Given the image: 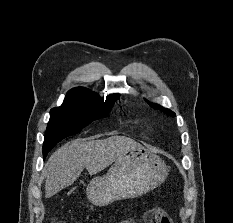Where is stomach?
I'll use <instances>...</instances> for the list:
<instances>
[{
  "mask_svg": "<svg viewBox=\"0 0 233 223\" xmlns=\"http://www.w3.org/2000/svg\"><path fill=\"white\" fill-rule=\"evenodd\" d=\"M167 175L163 159L139 143L117 157L104 175L90 179L86 195L93 205L102 207L117 199L140 197L158 187Z\"/></svg>",
  "mask_w": 233,
  "mask_h": 223,
  "instance_id": "1",
  "label": "stomach"
}]
</instances>
